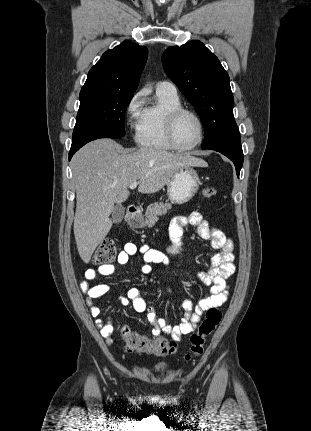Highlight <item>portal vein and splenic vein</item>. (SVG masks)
I'll use <instances>...</instances> for the list:
<instances>
[{"label": "portal vein and splenic vein", "mask_w": 311, "mask_h": 431, "mask_svg": "<svg viewBox=\"0 0 311 431\" xmlns=\"http://www.w3.org/2000/svg\"><path fill=\"white\" fill-rule=\"evenodd\" d=\"M138 186V182H133V184H130L129 188L130 190H135V188H137Z\"/></svg>", "instance_id": "1"}]
</instances>
